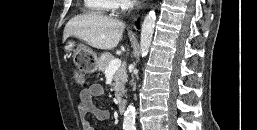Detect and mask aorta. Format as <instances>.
Wrapping results in <instances>:
<instances>
[{"label": "aorta", "mask_w": 257, "mask_h": 130, "mask_svg": "<svg viewBox=\"0 0 257 130\" xmlns=\"http://www.w3.org/2000/svg\"><path fill=\"white\" fill-rule=\"evenodd\" d=\"M155 22H156V14L154 11H150L145 16L141 26L140 46H141L142 57H145L148 54L152 37H153ZM135 116H136L135 107L133 104H129L124 114V121H123L124 130H134Z\"/></svg>", "instance_id": "1"}]
</instances>
